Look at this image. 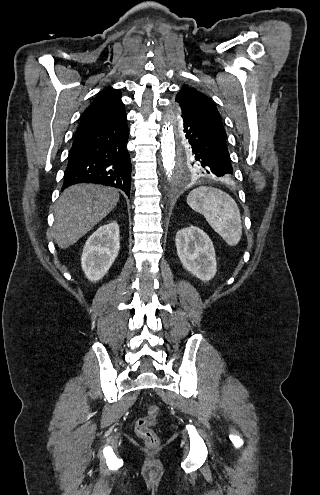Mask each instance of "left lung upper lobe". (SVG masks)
<instances>
[{
    "label": "left lung upper lobe",
    "mask_w": 320,
    "mask_h": 495,
    "mask_svg": "<svg viewBox=\"0 0 320 495\" xmlns=\"http://www.w3.org/2000/svg\"><path fill=\"white\" fill-rule=\"evenodd\" d=\"M176 102L179 115H190L194 117L197 121L202 122L210 130L226 140L227 136L221 116L214 103L205 94L193 87L184 85L176 95ZM179 121L178 116L177 122L180 125ZM198 152L200 151L190 146L183 136L175 140V160L187 175L191 178L210 177L202 168L199 159L200 153Z\"/></svg>",
    "instance_id": "1"
}]
</instances>
